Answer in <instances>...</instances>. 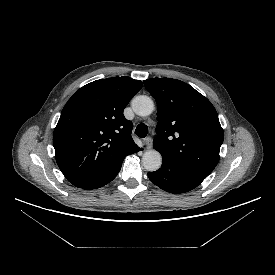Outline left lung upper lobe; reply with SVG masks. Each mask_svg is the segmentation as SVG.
<instances>
[{
  "mask_svg": "<svg viewBox=\"0 0 275 275\" xmlns=\"http://www.w3.org/2000/svg\"><path fill=\"white\" fill-rule=\"evenodd\" d=\"M144 85L158 109L153 147L162 158L207 177L219 161L224 136L214 106L180 80L151 78Z\"/></svg>",
  "mask_w": 275,
  "mask_h": 275,
  "instance_id": "5c2ea615",
  "label": "left lung upper lobe"
}]
</instances>
